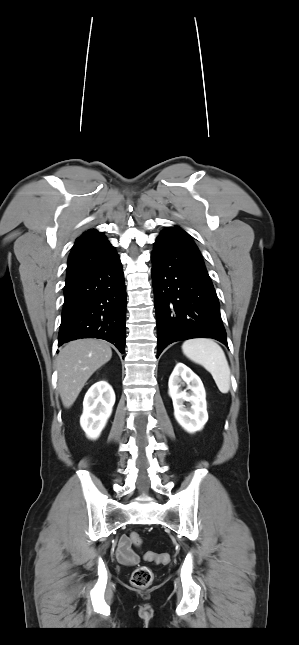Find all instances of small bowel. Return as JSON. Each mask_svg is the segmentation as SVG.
I'll return each mask as SVG.
<instances>
[{"label":"small bowel","instance_id":"obj_1","mask_svg":"<svg viewBox=\"0 0 299 645\" xmlns=\"http://www.w3.org/2000/svg\"><path fill=\"white\" fill-rule=\"evenodd\" d=\"M131 543L130 537L126 535H122L118 540L117 557L125 564H135L138 562V556L133 551Z\"/></svg>","mask_w":299,"mask_h":645}]
</instances>
